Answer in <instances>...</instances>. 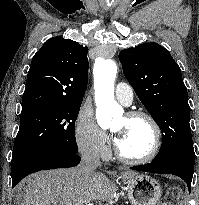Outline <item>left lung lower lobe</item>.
<instances>
[{
    "instance_id": "1",
    "label": "left lung lower lobe",
    "mask_w": 199,
    "mask_h": 205,
    "mask_svg": "<svg viewBox=\"0 0 199 205\" xmlns=\"http://www.w3.org/2000/svg\"><path fill=\"white\" fill-rule=\"evenodd\" d=\"M194 164L195 161L192 160L174 158L161 162H151L150 164L146 165L134 166L131 167V169L151 173L176 175L187 183L188 190L190 192L194 173Z\"/></svg>"
}]
</instances>
